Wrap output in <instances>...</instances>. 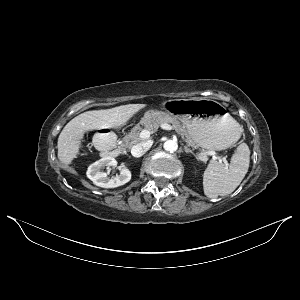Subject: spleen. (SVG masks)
I'll use <instances>...</instances> for the list:
<instances>
[{
	"instance_id": "1",
	"label": "spleen",
	"mask_w": 300,
	"mask_h": 300,
	"mask_svg": "<svg viewBox=\"0 0 300 300\" xmlns=\"http://www.w3.org/2000/svg\"><path fill=\"white\" fill-rule=\"evenodd\" d=\"M239 130L242 131L240 125ZM249 163L250 150L246 143H240L228 166L212 161L203 174L204 194L208 198L231 194L244 179Z\"/></svg>"
}]
</instances>
